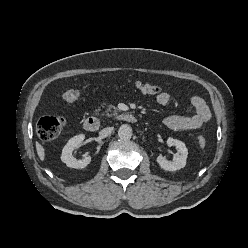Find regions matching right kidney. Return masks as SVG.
Returning a JSON list of instances; mask_svg holds the SVG:
<instances>
[{
  "instance_id": "ca27d5eb",
  "label": "right kidney",
  "mask_w": 248,
  "mask_h": 248,
  "mask_svg": "<svg viewBox=\"0 0 248 248\" xmlns=\"http://www.w3.org/2000/svg\"><path fill=\"white\" fill-rule=\"evenodd\" d=\"M85 139L84 134H79L71 138L67 144L64 146L62 150V155H61V160L64 162L68 167L71 168H85L90 162H91V157L85 155L83 159H76L73 155L72 152L73 150L80 146Z\"/></svg>"
}]
</instances>
